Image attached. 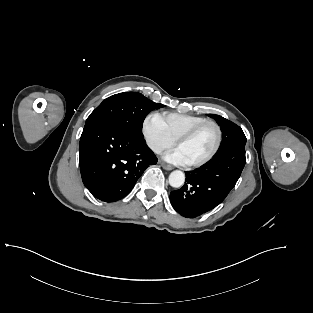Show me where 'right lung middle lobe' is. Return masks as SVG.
<instances>
[{
  "instance_id": "right-lung-middle-lobe-1",
  "label": "right lung middle lobe",
  "mask_w": 313,
  "mask_h": 313,
  "mask_svg": "<svg viewBox=\"0 0 313 313\" xmlns=\"http://www.w3.org/2000/svg\"><path fill=\"white\" fill-rule=\"evenodd\" d=\"M164 105L155 103L137 92L115 94L103 102L87 118L85 127L99 122L116 124L139 137H143L142 124L146 115Z\"/></svg>"
}]
</instances>
